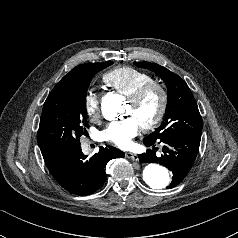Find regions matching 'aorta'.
Instances as JSON below:
<instances>
[{
  "instance_id": "762f6f07",
  "label": "aorta",
  "mask_w": 238,
  "mask_h": 238,
  "mask_svg": "<svg viewBox=\"0 0 238 238\" xmlns=\"http://www.w3.org/2000/svg\"><path fill=\"white\" fill-rule=\"evenodd\" d=\"M123 112L122 100L119 96H107L102 101V114L107 120H114ZM143 180L152 189L163 190L170 184L168 170L155 163L148 164L143 170Z\"/></svg>"
}]
</instances>
